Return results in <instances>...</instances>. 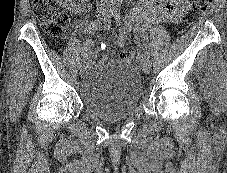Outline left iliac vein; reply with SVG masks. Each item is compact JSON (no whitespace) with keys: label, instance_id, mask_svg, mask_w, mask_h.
Returning a JSON list of instances; mask_svg holds the SVG:
<instances>
[{"label":"left iliac vein","instance_id":"1","mask_svg":"<svg viewBox=\"0 0 227 173\" xmlns=\"http://www.w3.org/2000/svg\"><path fill=\"white\" fill-rule=\"evenodd\" d=\"M142 71L145 73V74H149L150 73V69H151V62L149 60H146L142 66Z\"/></svg>","mask_w":227,"mask_h":173}]
</instances>
